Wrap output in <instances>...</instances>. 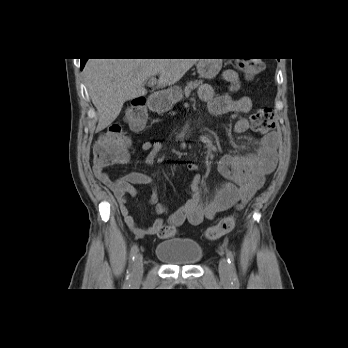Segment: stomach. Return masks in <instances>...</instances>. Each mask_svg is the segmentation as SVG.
I'll return each mask as SVG.
<instances>
[{"instance_id": "1", "label": "stomach", "mask_w": 348, "mask_h": 348, "mask_svg": "<svg viewBox=\"0 0 348 348\" xmlns=\"http://www.w3.org/2000/svg\"><path fill=\"white\" fill-rule=\"evenodd\" d=\"M197 72L201 78L213 79L221 70V59H199L196 65ZM182 97V90L178 86L169 88L159 93L153 103V108L159 112H165L174 106Z\"/></svg>"}]
</instances>
